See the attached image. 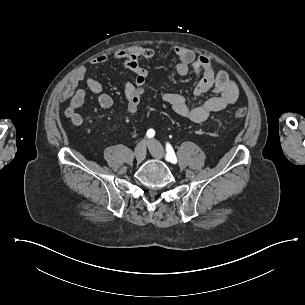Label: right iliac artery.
<instances>
[{
	"label": "right iliac artery",
	"mask_w": 305,
	"mask_h": 305,
	"mask_svg": "<svg viewBox=\"0 0 305 305\" xmlns=\"http://www.w3.org/2000/svg\"><path fill=\"white\" fill-rule=\"evenodd\" d=\"M146 135L148 138H152L155 135V131L153 129H149Z\"/></svg>",
	"instance_id": "82829eb1"
}]
</instances>
